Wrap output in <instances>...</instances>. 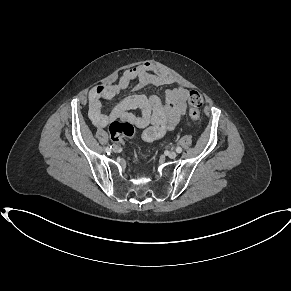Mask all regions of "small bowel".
<instances>
[{
    "instance_id": "c3829d8e",
    "label": "small bowel",
    "mask_w": 291,
    "mask_h": 291,
    "mask_svg": "<svg viewBox=\"0 0 291 291\" xmlns=\"http://www.w3.org/2000/svg\"><path fill=\"white\" fill-rule=\"evenodd\" d=\"M134 80L138 81V88L174 83L172 75L153 62L130 68L121 75L117 83L97 85L90 90L89 116L98 128H105L118 119L133 123L144 129L141 138L151 142L162 137L180 122L187 111L189 92L183 87L168 89L164 100L158 95H133L117 103L110 112H105L103 100L111 99L126 90ZM131 108H139L141 115L136 116L129 112Z\"/></svg>"
}]
</instances>
